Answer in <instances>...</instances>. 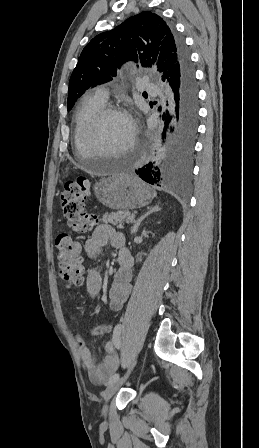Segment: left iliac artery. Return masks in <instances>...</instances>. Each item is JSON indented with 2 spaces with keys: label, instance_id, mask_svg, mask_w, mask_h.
Masks as SVG:
<instances>
[{
  "label": "left iliac artery",
  "instance_id": "obj_1",
  "mask_svg": "<svg viewBox=\"0 0 259 448\" xmlns=\"http://www.w3.org/2000/svg\"><path fill=\"white\" fill-rule=\"evenodd\" d=\"M123 326L121 324H117L114 328L112 335V343L114 347L119 350L121 348V332ZM119 379V373H115L109 378L108 384H111Z\"/></svg>",
  "mask_w": 259,
  "mask_h": 448
}]
</instances>
